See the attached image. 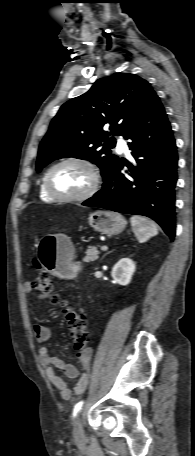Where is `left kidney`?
Masks as SVG:
<instances>
[{"mask_svg": "<svg viewBox=\"0 0 195 456\" xmlns=\"http://www.w3.org/2000/svg\"><path fill=\"white\" fill-rule=\"evenodd\" d=\"M135 268V263L130 258H122L114 265L111 276L116 283L126 286L131 282Z\"/></svg>", "mask_w": 195, "mask_h": 456, "instance_id": "1", "label": "left kidney"}]
</instances>
